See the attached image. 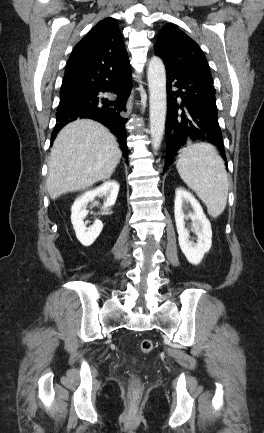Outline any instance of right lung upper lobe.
<instances>
[{"mask_svg": "<svg viewBox=\"0 0 264 433\" xmlns=\"http://www.w3.org/2000/svg\"><path fill=\"white\" fill-rule=\"evenodd\" d=\"M129 63L122 34L113 18L99 21L75 46L66 72L100 66L121 67Z\"/></svg>", "mask_w": 264, "mask_h": 433, "instance_id": "obj_1", "label": "right lung upper lobe"}]
</instances>
